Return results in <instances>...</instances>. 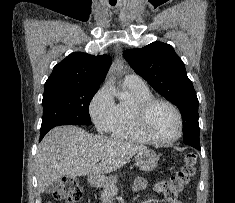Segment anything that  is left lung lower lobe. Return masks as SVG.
<instances>
[{
    "mask_svg": "<svg viewBox=\"0 0 235 203\" xmlns=\"http://www.w3.org/2000/svg\"><path fill=\"white\" fill-rule=\"evenodd\" d=\"M183 141L185 144H188L194 148H196L197 150H200V144H196L193 141V134L191 132H184L183 133Z\"/></svg>",
    "mask_w": 235,
    "mask_h": 203,
    "instance_id": "1",
    "label": "left lung lower lobe"
}]
</instances>
